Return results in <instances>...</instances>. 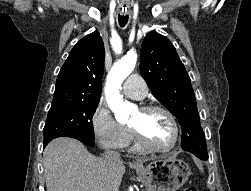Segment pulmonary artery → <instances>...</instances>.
I'll return each mask as SVG.
<instances>
[{
	"mask_svg": "<svg viewBox=\"0 0 251 191\" xmlns=\"http://www.w3.org/2000/svg\"><path fill=\"white\" fill-rule=\"evenodd\" d=\"M123 93L133 99H143L148 93L145 80L138 74H131L124 80Z\"/></svg>",
	"mask_w": 251,
	"mask_h": 191,
	"instance_id": "obj_1",
	"label": "pulmonary artery"
}]
</instances>
